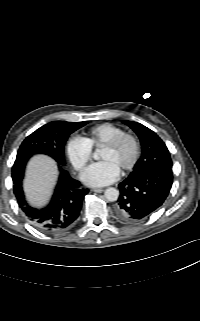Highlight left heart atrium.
I'll return each mask as SVG.
<instances>
[{"instance_id": "obj_1", "label": "left heart atrium", "mask_w": 200, "mask_h": 321, "mask_svg": "<svg viewBox=\"0 0 200 321\" xmlns=\"http://www.w3.org/2000/svg\"><path fill=\"white\" fill-rule=\"evenodd\" d=\"M120 170L110 161L101 160L89 165L81 174L82 181L89 186H104L119 177Z\"/></svg>"}]
</instances>
